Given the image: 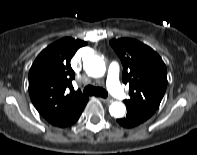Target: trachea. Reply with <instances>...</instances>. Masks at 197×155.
Segmentation results:
<instances>
[{"instance_id": "trachea-1", "label": "trachea", "mask_w": 197, "mask_h": 155, "mask_svg": "<svg viewBox=\"0 0 197 155\" xmlns=\"http://www.w3.org/2000/svg\"><path fill=\"white\" fill-rule=\"evenodd\" d=\"M83 92L84 94H87L90 96L95 95V96H99L103 98H106L108 96V93L106 92V90H104L101 87H95L92 85L85 87Z\"/></svg>"}]
</instances>
